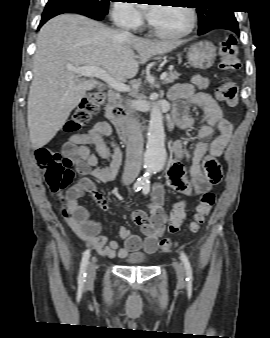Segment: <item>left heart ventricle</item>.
<instances>
[{"label": "left heart ventricle", "instance_id": "left-heart-ventricle-1", "mask_svg": "<svg viewBox=\"0 0 270 338\" xmlns=\"http://www.w3.org/2000/svg\"><path fill=\"white\" fill-rule=\"evenodd\" d=\"M156 29L166 33L185 30L190 24V14L185 7L161 6L151 20Z\"/></svg>", "mask_w": 270, "mask_h": 338}]
</instances>
